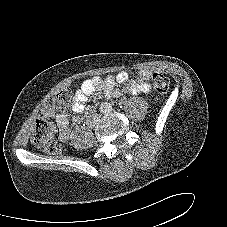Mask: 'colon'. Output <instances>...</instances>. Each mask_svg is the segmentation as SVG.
<instances>
[{"mask_svg":"<svg viewBox=\"0 0 227 227\" xmlns=\"http://www.w3.org/2000/svg\"><path fill=\"white\" fill-rule=\"evenodd\" d=\"M152 81L154 89L159 93H167L171 89V80L164 74H153ZM70 100V92L60 91L43 101L40 108L41 115L35 120V126L31 136V140L37 148L49 154H58L62 151V145L57 141L54 128L48 118L55 111L66 108Z\"/></svg>","mask_w":227,"mask_h":227,"instance_id":"1","label":"colon"}]
</instances>
